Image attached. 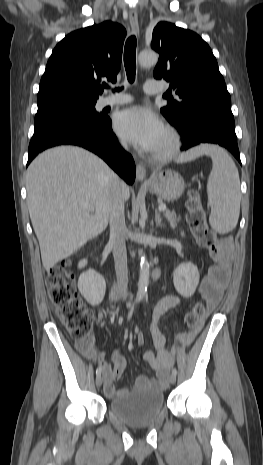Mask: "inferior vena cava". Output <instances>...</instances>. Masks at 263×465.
<instances>
[{
  "label": "inferior vena cava",
  "instance_id": "inferior-vena-cava-1",
  "mask_svg": "<svg viewBox=\"0 0 263 465\" xmlns=\"http://www.w3.org/2000/svg\"><path fill=\"white\" fill-rule=\"evenodd\" d=\"M123 146L127 147L126 143H123ZM125 186V183L120 180L115 184L109 214V244L112 246L118 289L123 299H126L128 287L127 251L125 244L127 228L124 215Z\"/></svg>",
  "mask_w": 263,
  "mask_h": 465
}]
</instances>
